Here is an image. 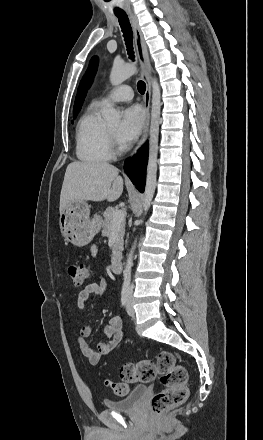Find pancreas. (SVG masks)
Here are the masks:
<instances>
[{"label":"pancreas","instance_id":"1","mask_svg":"<svg viewBox=\"0 0 263 440\" xmlns=\"http://www.w3.org/2000/svg\"><path fill=\"white\" fill-rule=\"evenodd\" d=\"M118 209L113 207H108L103 213L104 220L102 222V234L106 237L111 236L112 225H113V216ZM125 233V219L121 221V223L117 226V237L113 244L112 249V258L111 261H115L117 258L121 256L123 250V237Z\"/></svg>","mask_w":263,"mask_h":440}]
</instances>
